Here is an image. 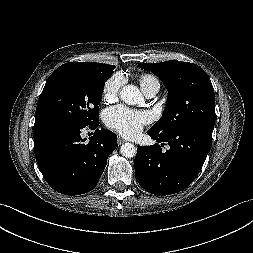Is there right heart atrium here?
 Here are the masks:
<instances>
[{
  "mask_svg": "<svg viewBox=\"0 0 253 253\" xmlns=\"http://www.w3.org/2000/svg\"><path fill=\"white\" fill-rule=\"evenodd\" d=\"M123 80L120 75L111 76L103 86V99L106 102H113L118 98Z\"/></svg>",
  "mask_w": 253,
  "mask_h": 253,
  "instance_id": "obj_1",
  "label": "right heart atrium"
}]
</instances>
